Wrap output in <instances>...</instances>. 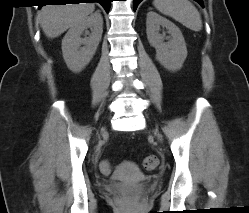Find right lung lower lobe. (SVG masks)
Instances as JSON below:
<instances>
[{"instance_id": "98d812e1", "label": "right lung lower lobe", "mask_w": 249, "mask_h": 213, "mask_svg": "<svg viewBox=\"0 0 249 213\" xmlns=\"http://www.w3.org/2000/svg\"><path fill=\"white\" fill-rule=\"evenodd\" d=\"M82 1H89V3L99 2L105 10L108 12L110 8V3L112 0H46V2H52L55 4H66V3H80ZM41 7V6H39Z\"/></svg>"}]
</instances>
